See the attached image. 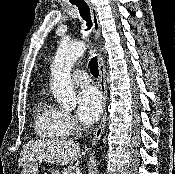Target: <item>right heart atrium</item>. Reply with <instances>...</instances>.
Instances as JSON below:
<instances>
[{"label": "right heart atrium", "mask_w": 175, "mask_h": 174, "mask_svg": "<svg viewBox=\"0 0 175 174\" xmlns=\"http://www.w3.org/2000/svg\"><path fill=\"white\" fill-rule=\"evenodd\" d=\"M62 125L67 134L77 130V124L74 118L68 113H62Z\"/></svg>", "instance_id": "obj_1"}]
</instances>
